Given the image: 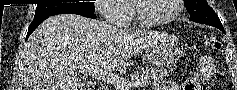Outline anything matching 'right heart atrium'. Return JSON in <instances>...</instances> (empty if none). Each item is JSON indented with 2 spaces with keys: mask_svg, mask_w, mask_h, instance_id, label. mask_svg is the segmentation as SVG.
Here are the masks:
<instances>
[{
  "mask_svg": "<svg viewBox=\"0 0 237 90\" xmlns=\"http://www.w3.org/2000/svg\"><path fill=\"white\" fill-rule=\"evenodd\" d=\"M121 6L122 0H95L93 9L102 12L106 20H127L128 13Z\"/></svg>",
  "mask_w": 237,
  "mask_h": 90,
  "instance_id": "obj_1",
  "label": "right heart atrium"
}]
</instances>
